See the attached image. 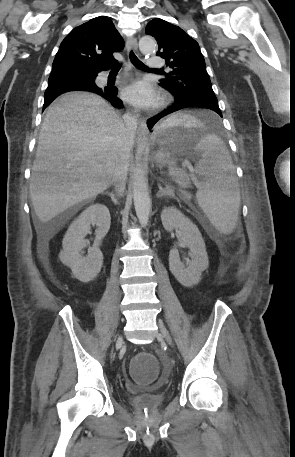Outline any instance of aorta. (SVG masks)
<instances>
[{"label":"aorta","mask_w":295,"mask_h":457,"mask_svg":"<svg viewBox=\"0 0 295 457\" xmlns=\"http://www.w3.org/2000/svg\"><path fill=\"white\" fill-rule=\"evenodd\" d=\"M155 47V41L150 36H143L139 41V49L143 54L152 53ZM141 160L142 148L139 147L135 155V168L133 171V200L138 220L142 226H146L149 221L151 200L148 192L147 173Z\"/></svg>","instance_id":"762f6f07"}]
</instances>
